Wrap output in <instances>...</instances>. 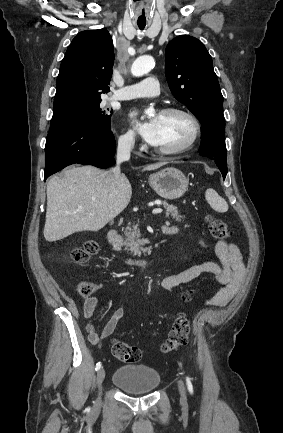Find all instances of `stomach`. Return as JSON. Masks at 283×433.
Segmentation results:
<instances>
[{"mask_svg":"<svg viewBox=\"0 0 283 433\" xmlns=\"http://www.w3.org/2000/svg\"><path fill=\"white\" fill-rule=\"evenodd\" d=\"M149 184L163 198H179L187 190L188 180L178 168H163L149 176Z\"/></svg>","mask_w":283,"mask_h":433,"instance_id":"obj_1","label":"stomach"}]
</instances>
